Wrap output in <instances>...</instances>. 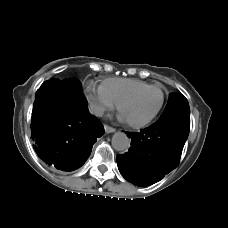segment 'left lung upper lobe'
<instances>
[{"label": "left lung upper lobe", "mask_w": 228, "mask_h": 228, "mask_svg": "<svg viewBox=\"0 0 228 228\" xmlns=\"http://www.w3.org/2000/svg\"><path fill=\"white\" fill-rule=\"evenodd\" d=\"M183 119H190L188 101L180 93H171L167 106L159 120H172L176 123H180Z\"/></svg>", "instance_id": "1"}]
</instances>
